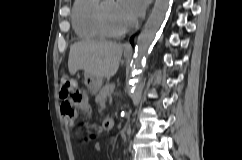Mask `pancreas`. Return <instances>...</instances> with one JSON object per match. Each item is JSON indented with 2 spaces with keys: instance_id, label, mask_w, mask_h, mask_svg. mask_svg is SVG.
Instances as JSON below:
<instances>
[{
  "instance_id": "cf45deb5",
  "label": "pancreas",
  "mask_w": 242,
  "mask_h": 160,
  "mask_svg": "<svg viewBox=\"0 0 242 160\" xmlns=\"http://www.w3.org/2000/svg\"><path fill=\"white\" fill-rule=\"evenodd\" d=\"M115 88V84H107L105 85L99 93L95 97L96 103L99 105H103L107 99V96L109 95L110 91Z\"/></svg>"
}]
</instances>
